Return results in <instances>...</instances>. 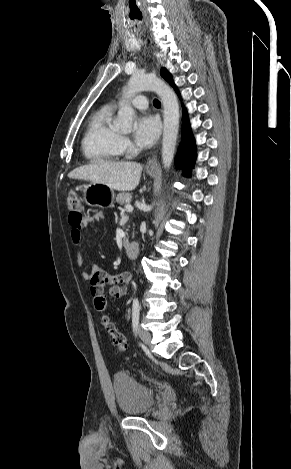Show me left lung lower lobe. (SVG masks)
I'll use <instances>...</instances> for the list:
<instances>
[{
	"label": "left lung lower lobe",
	"mask_w": 291,
	"mask_h": 469,
	"mask_svg": "<svg viewBox=\"0 0 291 469\" xmlns=\"http://www.w3.org/2000/svg\"><path fill=\"white\" fill-rule=\"evenodd\" d=\"M175 91L178 93L177 87L174 82L171 83ZM196 159V150H195V141L192 136L190 129V124L187 118L186 111L183 115V132H182V142L179 147V151L176 158V163L179 168H184L188 172H184L183 175L189 176V171L193 168Z\"/></svg>",
	"instance_id": "1"
}]
</instances>
